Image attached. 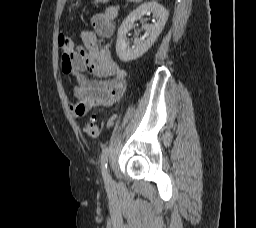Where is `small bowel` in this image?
I'll list each match as a JSON object with an SVG mask.
<instances>
[{"label": "small bowel", "mask_w": 256, "mask_h": 228, "mask_svg": "<svg viewBox=\"0 0 256 228\" xmlns=\"http://www.w3.org/2000/svg\"><path fill=\"white\" fill-rule=\"evenodd\" d=\"M117 16L116 6L95 14L91 19L93 31H84L81 35L83 46L75 48L72 55L63 52L62 69L73 78L76 102L71 111L76 118L83 117L92 108L111 105L125 91L126 71L114 61L109 50L97 45V36L112 37Z\"/></svg>", "instance_id": "c3829d8e"}]
</instances>
